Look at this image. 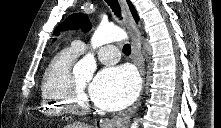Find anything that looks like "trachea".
Listing matches in <instances>:
<instances>
[{
    "label": "trachea",
    "mask_w": 221,
    "mask_h": 128,
    "mask_svg": "<svg viewBox=\"0 0 221 128\" xmlns=\"http://www.w3.org/2000/svg\"><path fill=\"white\" fill-rule=\"evenodd\" d=\"M105 2L111 7L117 17H121V10L117 0H105ZM123 53L125 55H129L131 53V46L129 44H125L123 46Z\"/></svg>",
    "instance_id": "obj_1"
}]
</instances>
